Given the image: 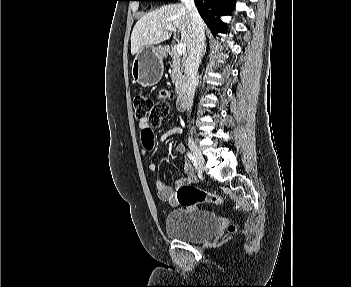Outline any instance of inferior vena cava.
<instances>
[{"label": "inferior vena cava", "mask_w": 351, "mask_h": 287, "mask_svg": "<svg viewBox=\"0 0 351 287\" xmlns=\"http://www.w3.org/2000/svg\"><path fill=\"white\" fill-rule=\"evenodd\" d=\"M192 23V43L185 63L184 81L186 86V105L191 107L196 89V74L205 46L204 22L201 19L194 0H185Z\"/></svg>", "instance_id": "obj_1"}]
</instances>
